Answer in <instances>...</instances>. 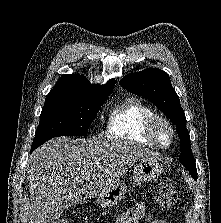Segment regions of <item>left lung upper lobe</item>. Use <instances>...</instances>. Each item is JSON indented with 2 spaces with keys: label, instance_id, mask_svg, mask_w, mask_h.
Returning <instances> with one entry per match:
<instances>
[{
  "label": "left lung upper lobe",
  "instance_id": "1",
  "mask_svg": "<svg viewBox=\"0 0 221 223\" xmlns=\"http://www.w3.org/2000/svg\"><path fill=\"white\" fill-rule=\"evenodd\" d=\"M120 85L129 92L150 100L176 125L181 146L179 161L197 180L196 164L191 151L185 114L180 105L179 97L171 85L169 75L160 69L149 68L128 74L120 81Z\"/></svg>",
  "mask_w": 221,
  "mask_h": 223
}]
</instances>
